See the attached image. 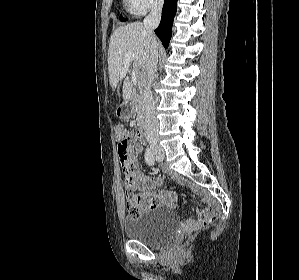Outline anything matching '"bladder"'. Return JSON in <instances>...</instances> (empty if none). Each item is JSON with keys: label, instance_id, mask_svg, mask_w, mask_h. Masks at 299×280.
<instances>
[{"label": "bladder", "instance_id": "1", "mask_svg": "<svg viewBox=\"0 0 299 280\" xmlns=\"http://www.w3.org/2000/svg\"><path fill=\"white\" fill-rule=\"evenodd\" d=\"M177 226V218L166 209L154 208L135 218H125V235L151 247H160L167 243Z\"/></svg>", "mask_w": 299, "mask_h": 280}]
</instances>
